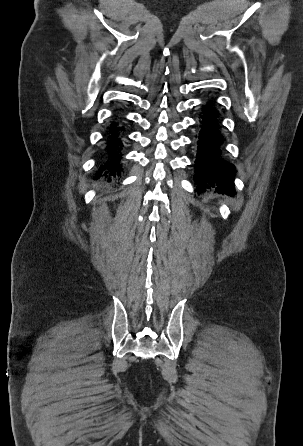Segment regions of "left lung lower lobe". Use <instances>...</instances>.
Listing matches in <instances>:
<instances>
[{
  "instance_id": "left-lung-lower-lobe-1",
  "label": "left lung lower lobe",
  "mask_w": 303,
  "mask_h": 446,
  "mask_svg": "<svg viewBox=\"0 0 303 446\" xmlns=\"http://www.w3.org/2000/svg\"><path fill=\"white\" fill-rule=\"evenodd\" d=\"M198 153L195 161V184L197 192L214 188L216 192L234 196L233 165L221 158L222 137L218 126V115L211 102L202 106Z\"/></svg>"
}]
</instances>
